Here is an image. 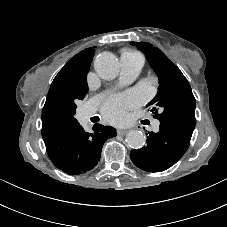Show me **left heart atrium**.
<instances>
[{
	"label": "left heart atrium",
	"mask_w": 227,
	"mask_h": 227,
	"mask_svg": "<svg viewBox=\"0 0 227 227\" xmlns=\"http://www.w3.org/2000/svg\"><path fill=\"white\" fill-rule=\"evenodd\" d=\"M138 102V96L133 93L116 96L104 103L102 113L111 122H121L126 117V110Z\"/></svg>",
	"instance_id": "39dd6f15"
}]
</instances>
